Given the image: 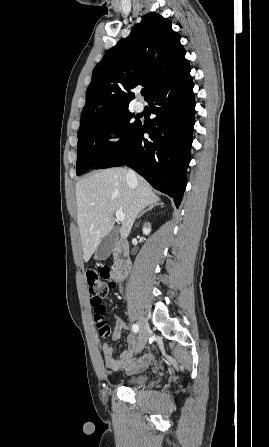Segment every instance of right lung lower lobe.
Returning <instances> with one entry per match:
<instances>
[{"label": "right lung lower lobe", "instance_id": "1", "mask_svg": "<svg viewBox=\"0 0 269 447\" xmlns=\"http://www.w3.org/2000/svg\"><path fill=\"white\" fill-rule=\"evenodd\" d=\"M189 62L161 83L147 101L156 117L138 126L125 143L96 169L127 165L179 207L187 183V167L195 123V98ZM149 134L150 140L144 138Z\"/></svg>", "mask_w": 269, "mask_h": 447}]
</instances>
